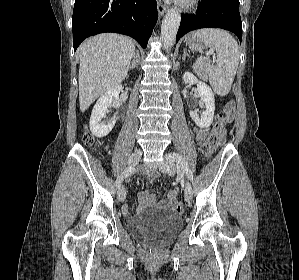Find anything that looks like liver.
Instances as JSON below:
<instances>
[{
	"mask_svg": "<svg viewBox=\"0 0 299 280\" xmlns=\"http://www.w3.org/2000/svg\"><path fill=\"white\" fill-rule=\"evenodd\" d=\"M79 103L81 112L127 76L135 54L133 41L123 35L104 33L87 39L78 48Z\"/></svg>",
	"mask_w": 299,
	"mask_h": 280,
	"instance_id": "obj_1",
	"label": "liver"
}]
</instances>
